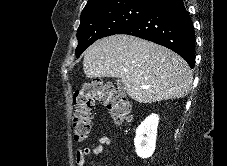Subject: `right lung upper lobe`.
<instances>
[{
    "label": "right lung upper lobe",
    "mask_w": 227,
    "mask_h": 166,
    "mask_svg": "<svg viewBox=\"0 0 227 166\" xmlns=\"http://www.w3.org/2000/svg\"><path fill=\"white\" fill-rule=\"evenodd\" d=\"M160 1L162 0H88L81 14L95 11L108 6H113V5L123 4V3H130V2H137V3L147 4L150 6H155Z\"/></svg>",
    "instance_id": "cb5924a9"
}]
</instances>
